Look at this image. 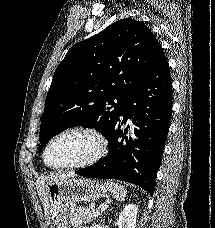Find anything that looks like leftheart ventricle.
<instances>
[{"instance_id": "obj_1", "label": "left heart ventricle", "mask_w": 215, "mask_h": 228, "mask_svg": "<svg viewBox=\"0 0 215 228\" xmlns=\"http://www.w3.org/2000/svg\"><path fill=\"white\" fill-rule=\"evenodd\" d=\"M92 138L84 133H69L56 139L49 147L46 162L51 167H60L88 157L94 150Z\"/></svg>"}]
</instances>
